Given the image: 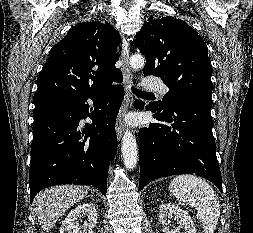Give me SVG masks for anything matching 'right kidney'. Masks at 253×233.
Masks as SVG:
<instances>
[{
  "label": "right kidney",
  "instance_id": "ca27d5eb",
  "mask_svg": "<svg viewBox=\"0 0 253 233\" xmlns=\"http://www.w3.org/2000/svg\"><path fill=\"white\" fill-rule=\"evenodd\" d=\"M87 216L83 226L76 222L78 217ZM97 224V212L93 203H83L71 210L60 227V233H93Z\"/></svg>",
  "mask_w": 253,
  "mask_h": 233
}]
</instances>
